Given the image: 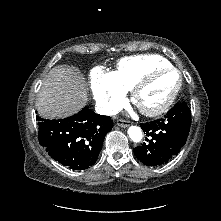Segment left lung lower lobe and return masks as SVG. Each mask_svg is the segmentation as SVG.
Instances as JSON below:
<instances>
[{
  "instance_id": "left-lung-lower-lobe-1",
  "label": "left lung lower lobe",
  "mask_w": 221,
  "mask_h": 221,
  "mask_svg": "<svg viewBox=\"0 0 221 221\" xmlns=\"http://www.w3.org/2000/svg\"><path fill=\"white\" fill-rule=\"evenodd\" d=\"M191 125V111L184 102L177 103L161 119L141 123L146 142L134 148L136 157L147 166H160L175 157L186 143Z\"/></svg>"
}]
</instances>
